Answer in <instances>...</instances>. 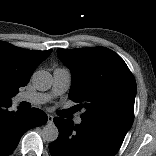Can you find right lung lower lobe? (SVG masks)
<instances>
[{
  "mask_svg": "<svg viewBox=\"0 0 156 156\" xmlns=\"http://www.w3.org/2000/svg\"><path fill=\"white\" fill-rule=\"evenodd\" d=\"M12 104L0 106V156L11 154L22 135L29 129L47 122V115L40 109L9 111Z\"/></svg>",
  "mask_w": 156,
  "mask_h": 156,
  "instance_id": "98d812e1",
  "label": "right lung lower lobe"
}]
</instances>
